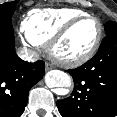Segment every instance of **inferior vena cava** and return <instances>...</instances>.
<instances>
[{"label": "inferior vena cava", "mask_w": 117, "mask_h": 117, "mask_svg": "<svg viewBox=\"0 0 117 117\" xmlns=\"http://www.w3.org/2000/svg\"><path fill=\"white\" fill-rule=\"evenodd\" d=\"M17 54L21 59L28 62H35L39 59V55L37 52L26 47L19 48Z\"/></svg>", "instance_id": "602c4592"}]
</instances>
